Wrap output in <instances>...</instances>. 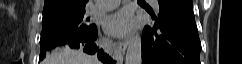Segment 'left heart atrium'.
Wrapping results in <instances>:
<instances>
[{
  "label": "left heart atrium",
  "mask_w": 242,
  "mask_h": 64,
  "mask_svg": "<svg viewBox=\"0 0 242 64\" xmlns=\"http://www.w3.org/2000/svg\"><path fill=\"white\" fill-rule=\"evenodd\" d=\"M132 25L131 13L122 9L112 15H110L104 24L107 34L113 37H121L129 32Z\"/></svg>",
  "instance_id": "obj_1"
}]
</instances>
